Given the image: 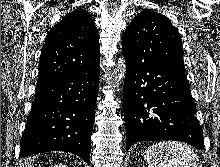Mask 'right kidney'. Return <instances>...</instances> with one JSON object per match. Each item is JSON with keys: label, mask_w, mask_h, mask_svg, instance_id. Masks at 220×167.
Returning <instances> with one entry per match:
<instances>
[{"label": "right kidney", "mask_w": 220, "mask_h": 167, "mask_svg": "<svg viewBox=\"0 0 220 167\" xmlns=\"http://www.w3.org/2000/svg\"><path fill=\"white\" fill-rule=\"evenodd\" d=\"M54 167H66V165H64V164H57Z\"/></svg>", "instance_id": "ca27d5eb"}]
</instances>
